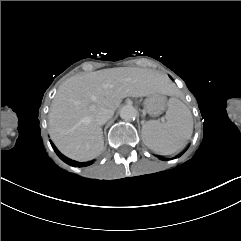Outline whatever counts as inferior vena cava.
Here are the masks:
<instances>
[{
  "mask_svg": "<svg viewBox=\"0 0 241 241\" xmlns=\"http://www.w3.org/2000/svg\"><path fill=\"white\" fill-rule=\"evenodd\" d=\"M113 113L111 110L103 109L96 115L95 120L99 125H103L113 116Z\"/></svg>",
  "mask_w": 241,
  "mask_h": 241,
  "instance_id": "1",
  "label": "inferior vena cava"
}]
</instances>
